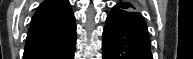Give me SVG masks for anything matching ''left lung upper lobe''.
Masks as SVG:
<instances>
[{
	"mask_svg": "<svg viewBox=\"0 0 193 59\" xmlns=\"http://www.w3.org/2000/svg\"><path fill=\"white\" fill-rule=\"evenodd\" d=\"M112 12H118V13H127L133 17H142L141 14H139L138 12H136V8L130 4V3H127V2H121L119 4H117Z\"/></svg>",
	"mask_w": 193,
	"mask_h": 59,
	"instance_id": "1",
	"label": "left lung upper lobe"
}]
</instances>
